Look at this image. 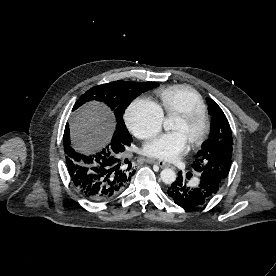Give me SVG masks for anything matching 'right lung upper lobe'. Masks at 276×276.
Instances as JSON below:
<instances>
[{
    "label": "right lung upper lobe",
    "instance_id": "right-lung-upper-lobe-1",
    "mask_svg": "<svg viewBox=\"0 0 276 276\" xmlns=\"http://www.w3.org/2000/svg\"><path fill=\"white\" fill-rule=\"evenodd\" d=\"M112 144H116L117 145V149H118V151H121L122 150V148H121V146H127V144H123V143H114V142H112ZM130 145V144H129Z\"/></svg>",
    "mask_w": 276,
    "mask_h": 276
}]
</instances>
